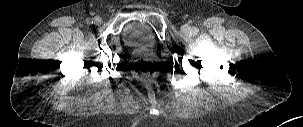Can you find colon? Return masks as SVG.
Instances as JSON below:
<instances>
[{"instance_id":"colon-1","label":"colon","mask_w":303,"mask_h":127,"mask_svg":"<svg viewBox=\"0 0 303 127\" xmlns=\"http://www.w3.org/2000/svg\"><path fill=\"white\" fill-rule=\"evenodd\" d=\"M139 74L142 79L149 80L154 74L153 65L148 63H141L139 65Z\"/></svg>"}]
</instances>
